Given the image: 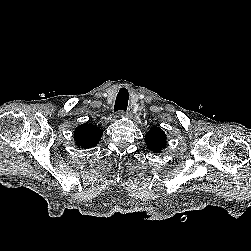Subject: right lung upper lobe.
I'll return each instance as SVG.
<instances>
[{
  "label": "right lung upper lobe",
  "instance_id": "1",
  "mask_svg": "<svg viewBox=\"0 0 251 251\" xmlns=\"http://www.w3.org/2000/svg\"><path fill=\"white\" fill-rule=\"evenodd\" d=\"M102 134L103 132L99 127L91 123H84L75 129V143L78 147L89 149L99 143Z\"/></svg>",
  "mask_w": 251,
  "mask_h": 251
}]
</instances>
